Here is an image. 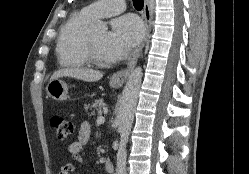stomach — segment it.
<instances>
[{"instance_id": "1", "label": "stomach", "mask_w": 249, "mask_h": 174, "mask_svg": "<svg viewBox=\"0 0 249 174\" xmlns=\"http://www.w3.org/2000/svg\"><path fill=\"white\" fill-rule=\"evenodd\" d=\"M110 84L111 86H117L113 81ZM46 90L48 95L56 101H63L68 98V85L60 79L51 80Z\"/></svg>"}]
</instances>
